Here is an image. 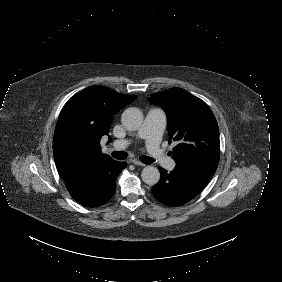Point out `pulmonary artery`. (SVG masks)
Listing matches in <instances>:
<instances>
[{
  "label": "pulmonary artery",
  "instance_id": "obj_1",
  "mask_svg": "<svg viewBox=\"0 0 282 282\" xmlns=\"http://www.w3.org/2000/svg\"><path fill=\"white\" fill-rule=\"evenodd\" d=\"M165 125V113L160 109H151L136 134L138 139L145 141L148 156L152 160H156V164L160 168H167L171 164V157L167 153H164V149L160 143V137L164 132ZM129 144L130 141L128 140H118L113 142L112 145L117 149H123ZM173 167L174 162L170 165V169Z\"/></svg>",
  "mask_w": 282,
  "mask_h": 282
}]
</instances>
